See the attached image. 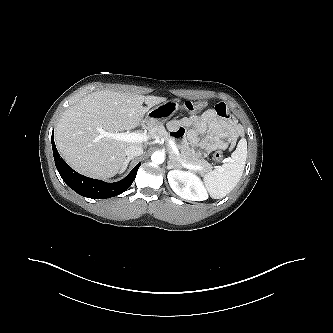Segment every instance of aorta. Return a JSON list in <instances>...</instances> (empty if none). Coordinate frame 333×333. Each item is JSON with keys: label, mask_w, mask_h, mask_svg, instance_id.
Masks as SVG:
<instances>
[{"label": "aorta", "mask_w": 333, "mask_h": 333, "mask_svg": "<svg viewBox=\"0 0 333 333\" xmlns=\"http://www.w3.org/2000/svg\"><path fill=\"white\" fill-rule=\"evenodd\" d=\"M165 156L161 151H156L152 154L151 160L155 164H162L164 162Z\"/></svg>", "instance_id": "aorta-1"}]
</instances>
